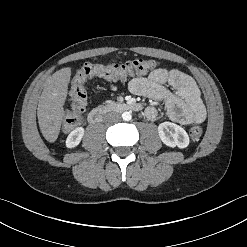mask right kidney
Here are the masks:
<instances>
[{
    "label": "right kidney",
    "mask_w": 247,
    "mask_h": 247,
    "mask_svg": "<svg viewBox=\"0 0 247 247\" xmlns=\"http://www.w3.org/2000/svg\"><path fill=\"white\" fill-rule=\"evenodd\" d=\"M84 132L85 130L82 127H78L75 130H73L66 139V146L68 148H74L77 145H79L81 139L84 136Z\"/></svg>",
    "instance_id": "1"
}]
</instances>
